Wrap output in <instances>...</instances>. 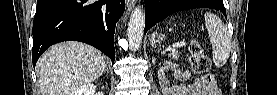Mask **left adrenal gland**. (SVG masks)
Masks as SVG:
<instances>
[{
    "instance_id": "left-adrenal-gland-1",
    "label": "left adrenal gland",
    "mask_w": 277,
    "mask_h": 95,
    "mask_svg": "<svg viewBox=\"0 0 277 95\" xmlns=\"http://www.w3.org/2000/svg\"><path fill=\"white\" fill-rule=\"evenodd\" d=\"M152 62H153V64H155V62H156V58H153Z\"/></svg>"
}]
</instances>
